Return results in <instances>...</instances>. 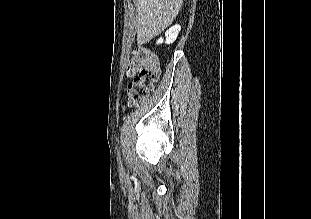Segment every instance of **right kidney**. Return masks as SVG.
Masks as SVG:
<instances>
[{"label":"right kidney","instance_id":"1","mask_svg":"<svg viewBox=\"0 0 311 219\" xmlns=\"http://www.w3.org/2000/svg\"><path fill=\"white\" fill-rule=\"evenodd\" d=\"M181 27L179 25H175L173 27H171L169 30L166 31L165 33V37H166V41L165 43L167 44H172L177 36L179 35ZM163 43V38L158 39L157 44H162Z\"/></svg>","mask_w":311,"mask_h":219}]
</instances>
